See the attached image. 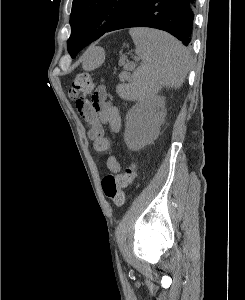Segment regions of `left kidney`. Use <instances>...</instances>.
I'll return each mask as SVG.
<instances>
[{
  "label": "left kidney",
  "mask_w": 245,
  "mask_h": 300,
  "mask_svg": "<svg viewBox=\"0 0 245 300\" xmlns=\"http://www.w3.org/2000/svg\"><path fill=\"white\" fill-rule=\"evenodd\" d=\"M165 116V103L162 98L140 102L126 115L124 139L132 150L143 147L153 139Z\"/></svg>",
  "instance_id": "5707ae66"
}]
</instances>
